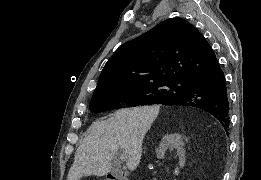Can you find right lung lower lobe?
<instances>
[{"instance_id": "right-lung-lower-lobe-1", "label": "right lung lower lobe", "mask_w": 261, "mask_h": 180, "mask_svg": "<svg viewBox=\"0 0 261 180\" xmlns=\"http://www.w3.org/2000/svg\"><path fill=\"white\" fill-rule=\"evenodd\" d=\"M163 105H184L203 109L229 128V98L224 73L219 63L194 74L183 94Z\"/></svg>"}]
</instances>
